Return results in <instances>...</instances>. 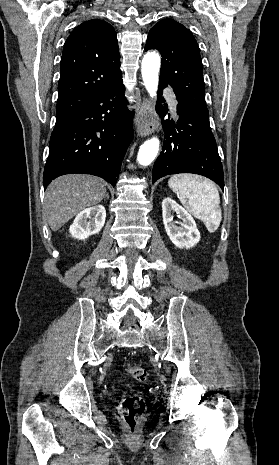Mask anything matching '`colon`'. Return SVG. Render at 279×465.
I'll list each match as a JSON object with an SVG mask.
<instances>
[{
	"mask_svg": "<svg viewBox=\"0 0 279 465\" xmlns=\"http://www.w3.org/2000/svg\"><path fill=\"white\" fill-rule=\"evenodd\" d=\"M125 368L127 373L137 381L143 382L146 380L147 372L144 368L130 365H126ZM145 408V400L140 395L129 393L123 396L119 412L130 432L134 433L137 430Z\"/></svg>",
	"mask_w": 279,
	"mask_h": 465,
	"instance_id": "1",
	"label": "colon"
}]
</instances>
